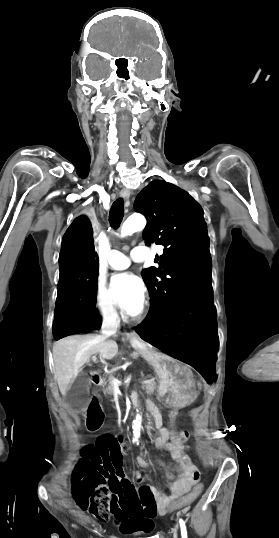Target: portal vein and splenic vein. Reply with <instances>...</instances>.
<instances>
[{"label": "portal vein and splenic vein", "mask_w": 279, "mask_h": 538, "mask_svg": "<svg viewBox=\"0 0 279 538\" xmlns=\"http://www.w3.org/2000/svg\"><path fill=\"white\" fill-rule=\"evenodd\" d=\"M91 359L93 363H96L98 359L96 352H91ZM124 383H126V380H115L113 381V386L124 385ZM144 383H149V380H144Z\"/></svg>", "instance_id": "obj_1"}]
</instances>
